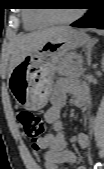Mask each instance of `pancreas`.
Instances as JSON below:
<instances>
[{"label": "pancreas", "mask_w": 104, "mask_h": 169, "mask_svg": "<svg viewBox=\"0 0 104 169\" xmlns=\"http://www.w3.org/2000/svg\"><path fill=\"white\" fill-rule=\"evenodd\" d=\"M61 75H80L83 73L82 60L80 57L69 53L62 58V67L59 69Z\"/></svg>", "instance_id": "pancreas-1"}]
</instances>
